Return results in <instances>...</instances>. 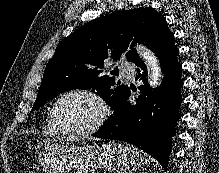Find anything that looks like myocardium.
<instances>
[{"label": "myocardium", "mask_w": 219, "mask_h": 173, "mask_svg": "<svg viewBox=\"0 0 219 173\" xmlns=\"http://www.w3.org/2000/svg\"><path fill=\"white\" fill-rule=\"evenodd\" d=\"M71 95H85L93 99L100 108V114L97 119L88 127L78 130V131H68L64 129L57 118V107L59 103L66 97ZM50 120L53 127L60 133L61 135L69 138H81L93 134L98 131L109 119L111 115V109L105 98L95 89L87 88V87H77L63 92L59 95L55 101L53 102L50 108Z\"/></svg>", "instance_id": "myocardium-1"}]
</instances>
